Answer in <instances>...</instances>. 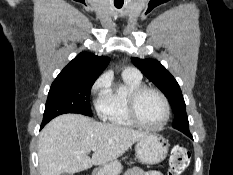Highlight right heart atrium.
<instances>
[{"instance_id":"d8ad5b80","label":"right heart atrium","mask_w":233,"mask_h":175,"mask_svg":"<svg viewBox=\"0 0 233 175\" xmlns=\"http://www.w3.org/2000/svg\"><path fill=\"white\" fill-rule=\"evenodd\" d=\"M109 80L105 76L99 77L91 87V93L93 95L102 94L107 88Z\"/></svg>"}]
</instances>
